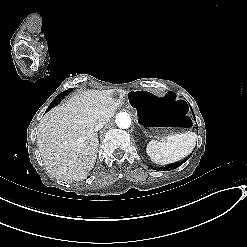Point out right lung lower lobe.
I'll use <instances>...</instances> for the list:
<instances>
[{
    "label": "right lung lower lobe",
    "mask_w": 247,
    "mask_h": 247,
    "mask_svg": "<svg viewBox=\"0 0 247 247\" xmlns=\"http://www.w3.org/2000/svg\"><path fill=\"white\" fill-rule=\"evenodd\" d=\"M70 91H72V89H69V90L64 91V92L60 93L59 95H57V97H56V98L51 102V104L49 105V107H48V109L46 110V112L49 111L51 108H53L55 105H57V104L60 102V100H61L65 95H67Z\"/></svg>",
    "instance_id": "right-lung-lower-lobe-1"
}]
</instances>
